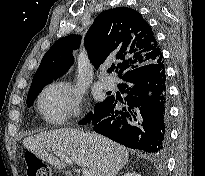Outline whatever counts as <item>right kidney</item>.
Segmentation results:
<instances>
[{"instance_id": "obj_1", "label": "right kidney", "mask_w": 205, "mask_h": 176, "mask_svg": "<svg viewBox=\"0 0 205 176\" xmlns=\"http://www.w3.org/2000/svg\"><path fill=\"white\" fill-rule=\"evenodd\" d=\"M124 176H141V175L135 172H128Z\"/></svg>"}]
</instances>
